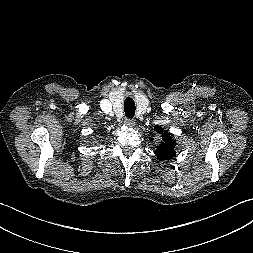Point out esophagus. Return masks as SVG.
I'll return each mask as SVG.
<instances>
[{"instance_id":"obj_1","label":"esophagus","mask_w":253,"mask_h":253,"mask_svg":"<svg viewBox=\"0 0 253 253\" xmlns=\"http://www.w3.org/2000/svg\"><path fill=\"white\" fill-rule=\"evenodd\" d=\"M124 124L128 127H133L135 125V121L133 119H126Z\"/></svg>"}]
</instances>
